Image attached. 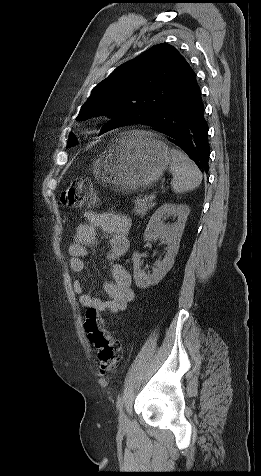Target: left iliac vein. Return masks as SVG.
<instances>
[{
  "label": "left iliac vein",
  "mask_w": 261,
  "mask_h": 476,
  "mask_svg": "<svg viewBox=\"0 0 261 476\" xmlns=\"http://www.w3.org/2000/svg\"><path fill=\"white\" fill-rule=\"evenodd\" d=\"M119 423H120V425L123 426V427L127 426L128 423H129L128 417H127V415H126V413H125L124 410H121V411H120V414H119Z\"/></svg>",
  "instance_id": "4c4485c4"
}]
</instances>
